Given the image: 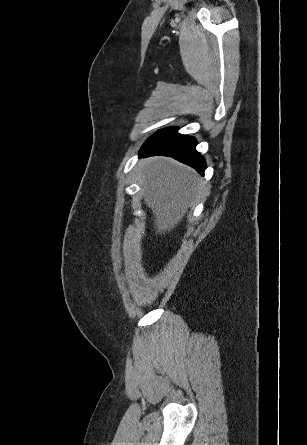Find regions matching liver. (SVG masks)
<instances>
[{"instance_id": "liver-1", "label": "liver", "mask_w": 307, "mask_h": 445, "mask_svg": "<svg viewBox=\"0 0 307 445\" xmlns=\"http://www.w3.org/2000/svg\"><path fill=\"white\" fill-rule=\"evenodd\" d=\"M141 176L146 204L152 208L159 235L175 229L189 206L203 194V180L197 172L173 158H150Z\"/></svg>"}]
</instances>
